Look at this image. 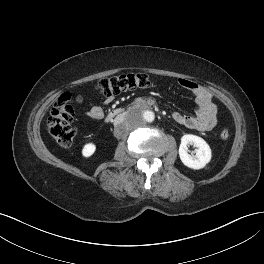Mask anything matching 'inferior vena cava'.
Instances as JSON below:
<instances>
[{
	"label": "inferior vena cava",
	"instance_id": "1",
	"mask_svg": "<svg viewBox=\"0 0 264 264\" xmlns=\"http://www.w3.org/2000/svg\"><path fill=\"white\" fill-rule=\"evenodd\" d=\"M124 118L122 116H116L113 119V124L116 126L117 124L123 123Z\"/></svg>",
	"mask_w": 264,
	"mask_h": 264
}]
</instances>
